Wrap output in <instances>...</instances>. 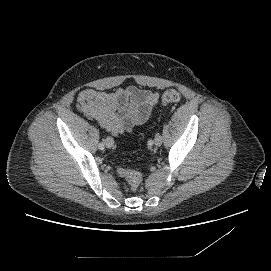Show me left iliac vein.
<instances>
[{"label": "left iliac vein", "mask_w": 271, "mask_h": 271, "mask_svg": "<svg viewBox=\"0 0 271 271\" xmlns=\"http://www.w3.org/2000/svg\"><path fill=\"white\" fill-rule=\"evenodd\" d=\"M162 142H163L162 136H161V135H157V136L155 137V145H156V146H160V145L162 144Z\"/></svg>", "instance_id": "obj_1"}]
</instances>
